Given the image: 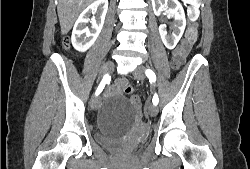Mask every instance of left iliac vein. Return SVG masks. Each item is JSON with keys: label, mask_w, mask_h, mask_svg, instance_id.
Masks as SVG:
<instances>
[{"label": "left iliac vein", "mask_w": 250, "mask_h": 169, "mask_svg": "<svg viewBox=\"0 0 250 169\" xmlns=\"http://www.w3.org/2000/svg\"><path fill=\"white\" fill-rule=\"evenodd\" d=\"M135 79L137 80H144L145 79V67L144 66H139L133 73ZM148 113L151 116L157 115V106L154 104H149L147 106Z\"/></svg>", "instance_id": "4c4485c4"}]
</instances>
